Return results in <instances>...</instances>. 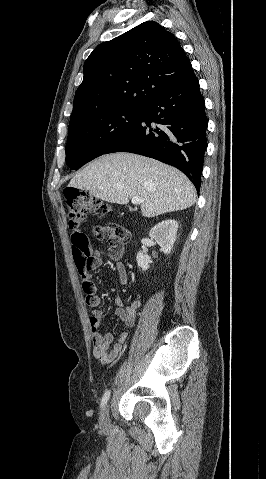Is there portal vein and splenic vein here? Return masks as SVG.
I'll list each match as a JSON object with an SVG mask.
<instances>
[{
    "instance_id": "1",
    "label": "portal vein and splenic vein",
    "mask_w": 266,
    "mask_h": 479,
    "mask_svg": "<svg viewBox=\"0 0 266 479\" xmlns=\"http://www.w3.org/2000/svg\"><path fill=\"white\" fill-rule=\"evenodd\" d=\"M143 201H144V200L141 199V198L138 197V196L132 197V199H131V202H132V204H134V205L140 204V203H142Z\"/></svg>"
}]
</instances>
